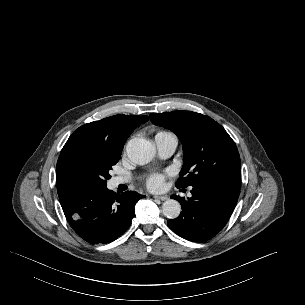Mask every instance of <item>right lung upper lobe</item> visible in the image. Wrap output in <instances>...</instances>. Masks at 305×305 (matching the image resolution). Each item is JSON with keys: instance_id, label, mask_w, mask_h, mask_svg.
<instances>
[{"instance_id": "right-lung-upper-lobe-1", "label": "right lung upper lobe", "mask_w": 305, "mask_h": 305, "mask_svg": "<svg viewBox=\"0 0 305 305\" xmlns=\"http://www.w3.org/2000/svg\"><path fill=\"white\" fill-rule=\"evenodd\" d=\"M148 121L147 116L114 115L99 121L85 124L72 135H85L106 144L109 148L121 151L125 141L138 126Z\"/></svg>"}]
</instances>
